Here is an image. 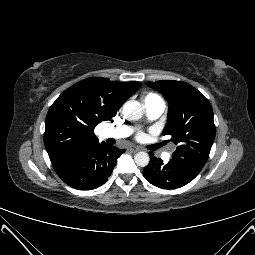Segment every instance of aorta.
<instances>
[{"label":"aorta","instance_id":"aorta-1","mask_svg":"<svg viewBox=\"0 0 255 255\" xmlns=\"http://www.w3.org/2000/svg\"><path fill=\"white\" fill-rule=\"evenodd\" d=\"M123 114L129 121L139 120L143 116V108L138 101H127L123 106ZM135 163L140 167H145L149 164L150 157L146 152H138L134 156Z\"/></svg>","mask_w":255,"mask_h":255}]
</instances>
